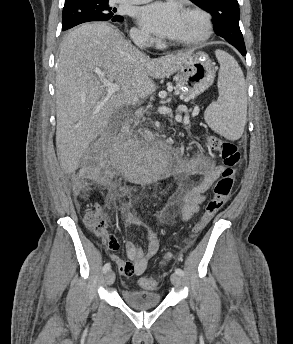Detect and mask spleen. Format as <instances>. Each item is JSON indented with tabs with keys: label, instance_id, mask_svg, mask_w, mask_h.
<instances>
[{
	"label": "spleen",
	"instance_id": "obj_1",
	"mask_svg": "<svg viewBox=\"0 0 293 344\" xmlns=\"http://www.w3.org/2000/svg\"><path fill=\"white\" fill-rule=\"evenodd\" d=\"M215 55L220 63L217 83L219 98L208 106L204 119L216 133L229 140H237L244 132L247 115L244 75L230 54L217 50Z\"/></svg>",
	"mask_w": 293,
	"mask_h": 344
}]
</instances>
